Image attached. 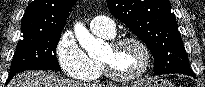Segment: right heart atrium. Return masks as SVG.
Wrapping results in <instances>:
<instances>
[{"mask_svg":"<svg viewBox=\"0 0 205 87\" xmlns=\"http://www.w3.org/2000/svg\"><path fill=\"white\" fill-rule=\"evenodd\" d=\"M55 54L60 67L71 78L82 79L94 71L91 59L71 32L61 35L55 47Z\"/></svg>","mask_w":205,"mask_h":87,"instance_id":"d8ad5b80","label":"right heart atrium"}]
</instances>
